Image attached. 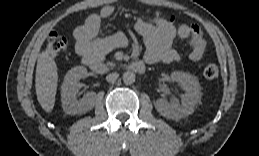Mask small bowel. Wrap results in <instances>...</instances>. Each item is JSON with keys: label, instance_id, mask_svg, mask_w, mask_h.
Instances as JSON below:
<instances>
[{"label": "small bowel", "instance_id": "obj_1", "mask_svg": "<svg viewBox=\"0 0 259 156\" xmlns=\"http://www.w3.org/2000/svg\"><path fill=\"white\" fill-rule=\"evenodd\" d=\"M113 13V6H103L98 13L88 16L84 24L74 30L75 49L79 55L102 60L111 50L126 46L127 38L123 33L97 38L102 20L110 18ZM135 28L144 39V59L149 64L171 63L180 60V54L173 48L176 36L182 40L190 37L188 57L193 62L202 59L207 49L202 32L195 24H182L176 29L167 20L144 21L137 18Z\"/></svg>", "mask_w": 259, "mask_h": 156}]
</instances>
